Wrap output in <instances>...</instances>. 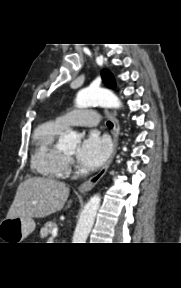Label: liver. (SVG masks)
Here are the masks:
<instances>
[{"instance_id":"obj_1","label":"liver","mask_w":181,"mask_h":288,"mask_svg":"<svg viewBox=\"0 0 181 288\" xmlns=\"http://www.w3.org/2000/svg\"><path fill=\"white\" fill-rule=\"evenodd\" d=\"M69 196V187L64 182L29 177L19 184L7 218H43L60 211ZM72 201L68 202L67 208Z\"/></svg>"}]
</instances>
